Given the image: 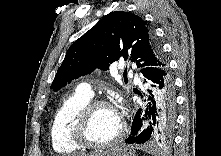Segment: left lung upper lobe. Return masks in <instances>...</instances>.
<instances>
[{"label":"left lung upper lobe","mask_w":221,"mask_h":156,"mask_svg":"<svg viewBox=\"0 0 221 156\" xmlns=\"http://www.w3.org/2000/svg\"><path fill=\"white\" fill-rule=\"evenodd\" d=\"M122 57L125 60L130 58L141 72L167 63L160 44L145 21L130 12L115 11L70 46L51 88L58 91L95 68L107 70L110 63Z\"/></svg>","instance_id":"5c2ea615"}]
</instances>
